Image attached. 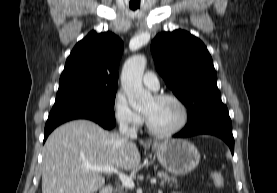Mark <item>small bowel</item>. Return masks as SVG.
Here are the masks:
<instances>
[{"label":"small bowel","mask_w":277,"mask_h":193,"mask_svg":"<svg viewBox=\"0 0 277 193\" xmlns=\"http://www.w3.org/2000/svg\"><path fill=\"white\" fill-rule=\"evenodd\" d=\"M172 193H180V192H172Z\"/></svg>","instance_id":"c3829d8e"}]
</instances>
